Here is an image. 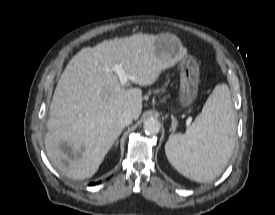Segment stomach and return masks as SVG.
<instances>
[{
	"label": "stomach",
	"instance_id": "stomach-1",
	"mask_svg": "<svg viewBox=\"0 0 275 215\" xmlns=\"http://www.w3.org/2000/svg\"><path fill=\"white\" fill-rule=\"evenodd\" d=\"M182 44L173 34L162 33L157 35L153 48L157 56L175 58ZM199 85V66L193 57L185 56L180 63V90L179 103L182 107H189L196 99Z\"/></svg>",
	"mask_w": 275,
	"mask_h": 215
}]
</instances>
